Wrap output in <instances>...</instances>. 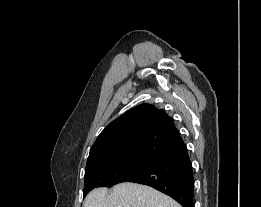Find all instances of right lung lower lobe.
Segmentation results:
<instances>
[{
	"instance_id": "98d812e1",
	"label": "right lung lower lobe",
	"mask_w": 261,
	"mask_h": 207,
	"mask_svg": "<svg viewBox=\"0 0 261 207\" xmlns=\"http://www.w3.org/2000/svg\"><path fill=\"white\" fill-rule=\"evenodd\" d=\"M151 186L175 199L183 207H193L194 177L187 148L167 156L123 182Z\"/></svg>"
}]
</instances>
